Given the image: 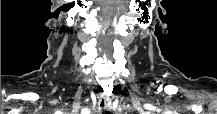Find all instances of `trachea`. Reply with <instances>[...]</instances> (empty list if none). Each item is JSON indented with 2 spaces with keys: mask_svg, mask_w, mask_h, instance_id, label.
I'll list each match as a JSON object with an SVG mask.
<instances>
[{
  "mask_svg": "<svg viewBox=\"0 0 217 114\" xmlns=\"http://www.w3.org/2000/svg\"><path fill=\"white\" fill-rule=\"evenodd\" d=\"M106 113H107V114H110V112H107V111H106Z\"/></svg>",
  "mask_w": 217,
  "mask_h": 114,
  "instance_id": "1",
  "label": "trachea"
}]
</instances>
